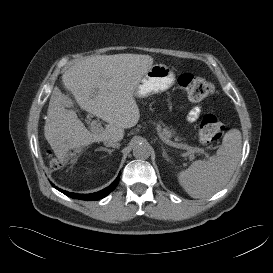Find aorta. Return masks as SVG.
Segmentation results:
<instances>
[{
    "instance_id": "762f6f07",
    "label": "aorta",
    "mask_w": 273,
    "mask_h": 273,
    "mask_svg": "<svg viewBox=\"0 0 273 273\" xmlns=\"http://www.w3.org/2000/svg\"><path fill=\"white\" fill-rule=\"evenodd\" d=\"M151 154V148L146 143H138L133 147V156L136 159H148Z\"/></svg>"
}]
</instances>
